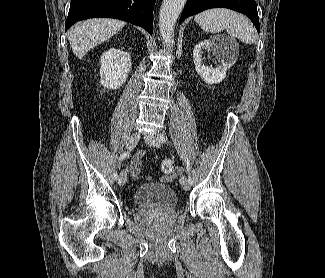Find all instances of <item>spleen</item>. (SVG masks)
Returning <instances> with one entry per match:
<instances>
[{
    "label": "spleen",
    "mask_w": 325,
    "mask_h": 278,
    "mask_svg": "<svg viewBox=\"0 0 325 278\" xmlns=\"http://www.w3.org/2000/svg\"><path fill=\"white\" fill-rule=\"evenodd\" d=\"M196 23L205 32L219 33L226 30L245 44H254L256 32L251 22L243 15L224 8L203 11L195 16Z\"/></svg>",
    "instance_id": "spleen-1"
}]
</instances>
